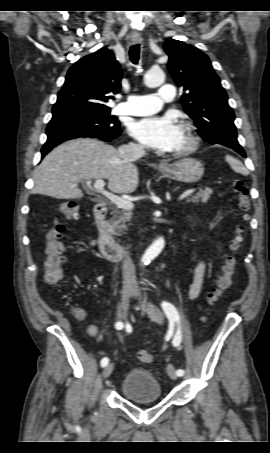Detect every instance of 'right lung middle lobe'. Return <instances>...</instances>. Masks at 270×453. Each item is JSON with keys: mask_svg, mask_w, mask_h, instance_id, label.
I'll return each mask as SVG.
<instances>
[{"mask_svg": "<svg viewBox=\"0 0 270 453\" xmlns=\"http://www.w3.org/2000/svg\"><path fill=\"white\" fill-rule=\"evenodd\" d=\"M56 126H73L107 132L120 129L119 121L116 117L110 116V110L87 111L52 118L48 127Z\"/></svg>", "mask_w": 270, "mask_h": 453, "instance_id": "obj_1", "label": "right lung middle lobe"}]
</instances>
